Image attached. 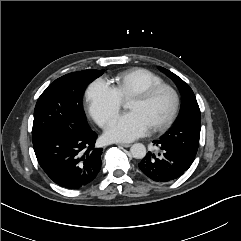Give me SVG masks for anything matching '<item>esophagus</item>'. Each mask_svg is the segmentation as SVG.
Returning a JSON list of instances; mask_svg holds the SVG:
<instances>
[{
  "mask_svg": "<svg viewBox=\"0 0 241 241\" xmlns=\"http://www.w3.org/2000/svg\"><path fill=\"white\" fill-rule=\"evenodd\" d=\"M117 145L126 147V148L131 146V144H129V143H118Z\"/></svg>",
  "mask_w": 241,
  "mask_h": 241,
  "instance_id": "34e87169",
  "label": "esophagus"
}]
</instances>
